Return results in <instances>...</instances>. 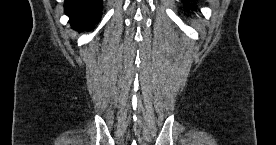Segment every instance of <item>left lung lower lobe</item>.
Returning a JSON list of instances; mask_svg holds the SVG:
<instances>
[{
  "instance_id": "0a47b994",
  "label": "left lung lower lobe",
  "mask_w": 276,
  "mask_h": 145,
  "mask_svg": "<svg viewBox=\"0 0 276 145\" xmlns=\"http://www.w3.org/2000/svg\"><path fill=\"white\" fill-rule=\"evenodd\" d=\"M189 8L193 9L192 6H189Z\"/></svg>"
}]
</instances>
